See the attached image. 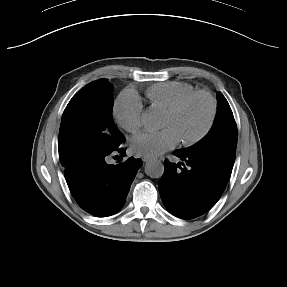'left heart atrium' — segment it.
Returning <instances> with one entry per match:
<instances>
[{
  "label": "left heart atrium",
  "mask_w": 287,
  "mask_h": 287,
  "mask_svg": "<svg viewBox=\"0 0 287 287\" xmlns=\"http://www.w3.org/2000/svg\"><path fill=\"white\" fill-rule=\"evenodd\" d=\"M179 142L174 129L165 128L159 132L141 133L132 139V150L141 156L155 157L172 149Z\"/></svg>",
  "instance_id": "1"
}]
</instances>
